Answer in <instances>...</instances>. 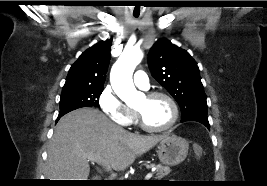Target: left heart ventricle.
<instances>
[{
    "label": "left heart ventricle",
    "instance_id": "obj_1",
    "mask_svg": "<svg viewBox=\"0 0 267 186\" xmlns=\"http://www.w3.org/2000/svg\"><path fill=\"white\" fill-rule=\"evenodd\" d=\"M150 127H163L171 119L172 109L170 103L163 97L147 99L144 97L136 107Z\"/></svg>",
    "mask_w": 267,
    "mask_h": 186
}]
</instances>
